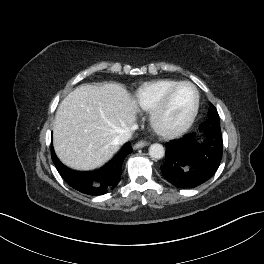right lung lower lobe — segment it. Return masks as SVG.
Wrapping results in <instances>:
<instances>
[{"mask_svg": "<svg viewBox=\"0 0 264 264\" xmlns=\"http://www.w3.org/2000/svg\"><path fill=\"white\" fill-rule=\"evenodd\" d=\"M132 151L128 142L105 166L90 172H77L64 166L57 158L53 146L51 156L55 167L71 187L81 193L97 196L107 193L118 184L124 158Z\"/></svg>", "mask_w": 264, "mask_h": 264, "instance_id": "right-lung-lower-lobe-1", "label": "right lung lower lobe"}]
</instances>
